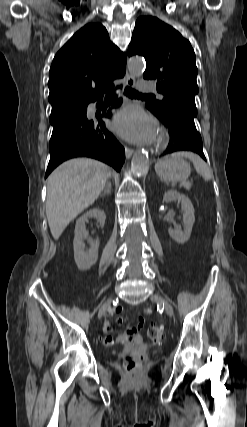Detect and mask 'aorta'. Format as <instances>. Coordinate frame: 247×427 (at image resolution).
<instances>
[{"label":"aorta","instance_id":"1","mask_svg":"<svg viewBox=\"0 0 247 427\" xmlns=\"http://www.w3.org/2000/svg\"><path fill=\"white\" fill-rule=\"evenodd\" d=\"M145 63L139 58H131L128 63L129 72L134 76H141L145 70ZM149 156L147 151H137L131 161V172L142 174L148 168Z\"/></svg>","mask_w":247,"mask_h":427}]
</instances>
